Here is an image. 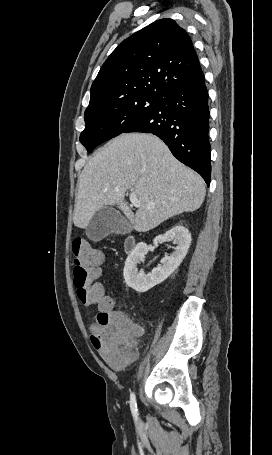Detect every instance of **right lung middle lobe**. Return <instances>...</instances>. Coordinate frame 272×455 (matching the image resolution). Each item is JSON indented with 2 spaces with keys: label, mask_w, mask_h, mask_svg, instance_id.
Segmentation results:
<instances>
[{
  "label": "right lung middle lobe",
  "mask_w": 272,
  "mask_h": 455,
  "mask_svg": "<svg viewBox=\"0 0 272 455\" xmlns=\"http://www.w3.org/2000/svg\"><path fill=\"white\" fill-rule=\"evenodd\" d=\"M162 97L137 95L119 99L85 111L81 143L91 152L99 144L125 132L131 125L152 113Z\"/></svg>",
  "instance_id": "obj_1"
}]
</instances>
